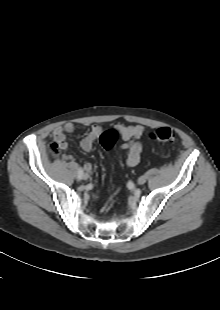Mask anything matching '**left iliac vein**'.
I'll list each match as a JSON object with an SVG mask.
<instances>
[{
    "mask_svg": "<svg viewBox=\"0 0 220 310\" xmlns=\"http://www.w3.org/2000/svg\"><path fill=\"white\" fill-rule=\"evenodd\" d=\"M145 181H146V180H145L144 177H140V178L138 179V183H139L140 185L144 184Z\"/></svg>",
    "mask_w": 220,
    "mask_h": 310,
    "instance_id": "obj_1",
    "label": "left iliac vein"
}]
</instances>
